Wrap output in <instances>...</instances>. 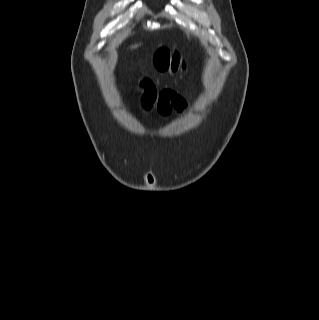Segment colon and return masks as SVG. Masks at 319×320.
<instances>
[{
    "instance_id": "5ec220e1",
    "label": "colon",
    "mask_w": 319,
    "mask_h": 320,
    "mask_svg": "<svg viewBox=\"0 0 319 320\" xmlns=\"http://www.w3.org/2000/svg\"><path fill=\"white\" fill-rule=\"evenodd\" d=\"M153 65L158 71H178L184 67V61L178 52L159 49L153 57Z\"/></svg>"
}]
</instances>
